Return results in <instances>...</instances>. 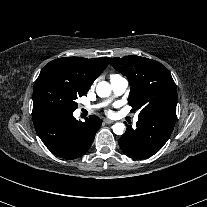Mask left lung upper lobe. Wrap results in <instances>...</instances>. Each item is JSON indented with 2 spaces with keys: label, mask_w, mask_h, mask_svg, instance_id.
<instances>
[{
  "label": "left lung upper lobe",
  "mask_w": 207,
  "mask_h": 207,
  "mask_svg": "<svg viewBox=\"0 0 207 207\" xmlns=\"http://www.w3.org/2000/svg\"><path fill=\"white\" fill-rule=\"evenodd\" d=\"M110 64L131 85L129 104L139 118L155 116L176 120L177 89L170 72L159 62L131 55L111 58Z\"/></svg>",
  "instance_id": "left-lung-upper-lobe-1"
}]
</instances>
